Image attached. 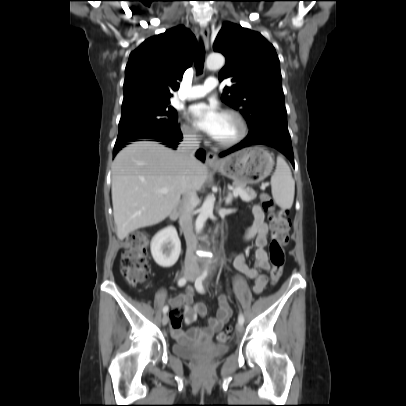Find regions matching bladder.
I'll list each match as a JSON object with an SVG mask.
<instances>
[{
	"instance_id": "31cf9c89",
	"label": "bladder",
	"mask_w": 406,
	"mask_h": 406,
	"mask_svg": "<svg viewBox=\"0 0 406 406\" xmlns=\"http://www.w3.org/2000/svg\"><path fill=\"white\" fill-rule=\"evenodd\" d=\"M228 350V346H218L213 348L210 352L213 356H219L226 354ZM172 351L179 357L193 359L198 356L202 348L190 342H175L172 346Z\"/></svg>"
}]
</instances>
